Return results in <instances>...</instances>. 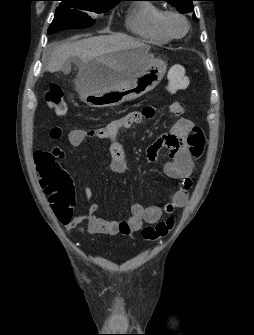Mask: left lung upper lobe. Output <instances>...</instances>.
Listing matches in <instances>:
<instances>
[{
  "label": "left lung upper lobe",
  "instance_id": "1",
  "mask_svg": "<svg viewBox=\"0 0 254 335\" xmlns=\"http://www.w3.org/2000/svg\"><path fill=\"white\" fill-rule=\"evenodd\" d=\"M159 1H167L173 6H175L179 12L181 13H189L193 11V3L194 0H159ZM193 19L198 21L195 14H193Z\"/></svg>",
  "mask_w": 254,
  "mask_h": 335
}]
</instances>
